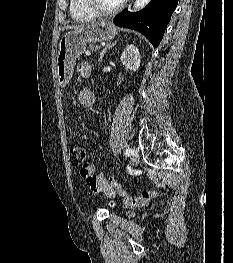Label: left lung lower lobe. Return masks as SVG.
I'll list each match as a JSON object with an SVG mask.
<instances>
[{"label": "left lung lower lobe", "mask_w": 233, "mask_h": 263, "mask_svg": "<svg viewBox=\"0 0 233 263\" xmlns=\"http://www.w3.org/2000/svg\"><path fill=\"white\" fill-rule=\"evenodd\" d=\"M177 4L178 0H151L139 12L130 13L124 10L115 17L114 24L141 32L156 48L163 38Z\"/></svg>", "instance_id": "left-lung-lower-lobe-1"}]
</instances>
